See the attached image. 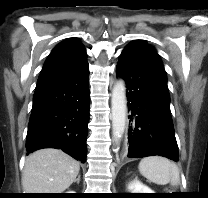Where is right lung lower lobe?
I'll return each instance as SVG.
<instances>
[{
  "label": "right lung lower lobe",
  "mask_w": 208,
  "mask_h": 198,
  "mask_svg": "<svg viewBox=\"0 0 208 198\" xmlns=\"http://www.w3.org/2000/svg\"><path fill=\"white\" fill-rule=\"evenodd\" d=\"M89 67L36 87L28 125L26 149H61L84 162L89 121Z\"/></svg>",
  "instance_id": "obj_1"
}]
</instances>
